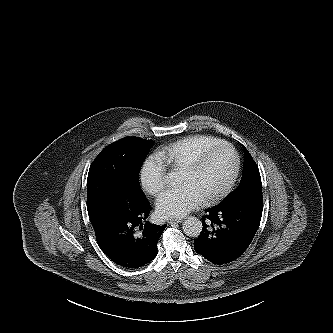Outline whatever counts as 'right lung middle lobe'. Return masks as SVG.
Returning <instances> with one entry per match:
<instances>
[{
  "label": "right lung middle lobe",
  "instance_id": "right-lung-middle-lobe-1",
  "mask_svg": "<svg viewBox=\"0 0 333 333\" xmlns=\"http://www.w3.org/2000/svg\"><path fill=\"white\" fill-rule=\"evenodd\" d=\"M152 140L125 137L105 147L90 166L87 178L89 217L104 209L128 210L134 203H146L139 184V170Z\"/></svg>",
  "mask_w": 333,
  "mask_h": 333
}]
</instances>
